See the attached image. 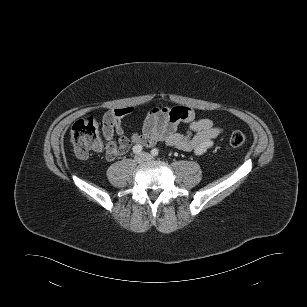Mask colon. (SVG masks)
Here are the masks:
<instances>
[{
    "instance_id": "1",
    "label": "colon",
    "mask_w": 307,
    "mask_h": 307,
    "mask_svg": "<svg viewBox=\"0 0 307 307\" xmlns=\"http://www.w3.org/2000/svg\"><path fill=\"white\" fill-rule=\"evenodd\" d=\"M71 143L75 154L79 158H87L92 151L105 147V142L99 134V123L93 117L76 121L70 131ZM246 142V136L240 131H235L229 138L232 147H240Z\"/></svg>"
}]
</instances>
